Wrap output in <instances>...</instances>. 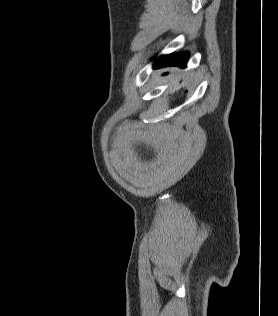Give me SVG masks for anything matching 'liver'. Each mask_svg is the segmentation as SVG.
Segmentation results:
<instances>
[{"label":"liver","instance_id":"1","mask_svg":"<svg viewBox=\"0 0 278 316\" xmlns=\"http://www.w3.org/2000/svg\"><path fill=\"white\" fill-rule=\"evenodd\" d=\"M173 86V90L177 89L179 87V85L177 84V80H175L172 84Z\"/></svg>","mask_w":278,"mask_h":316}]
</instances>
